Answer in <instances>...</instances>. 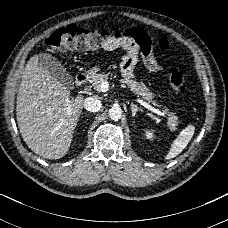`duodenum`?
I'll return each mask as SVG.
<instances>
[{
  "mask_svg": "<svg viewBox=\"0 0 228 228\" xmlns=\"http://www.w3.org/2000/svg\"><path fill=\"white\" fill-rule=\"evenodd\" d=\"M87 75L85 73H78L74 79L76 86L81 87L87 82Z\"/></svg>",
  "mask_w": 228,
  "mask_h": 228,
  "instance_id": "1",
  "label": "duodenum"
}]
</instances>
